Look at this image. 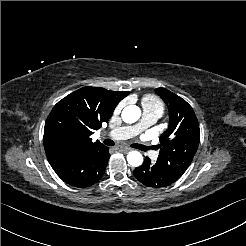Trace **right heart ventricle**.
<instances>
[{
  "instance_id": "1",
  "label": "right heart ventricle",
  "mask_w": 246,
  "mask_h": 246,
  "mask_svg": "<svg viewBox=\"0 0 246 246\" xmlns=\"http://www.w3.org/2000/svg\"><path fill=\"white\" fill-rule=\"evenodd\" d=\"M141 103L144 111H154L161 116L165 110V104L163 100L153 94H145L141 98Z\"/></svg>"
}]
</instances>
